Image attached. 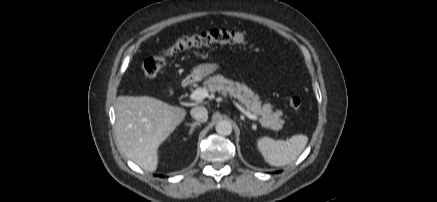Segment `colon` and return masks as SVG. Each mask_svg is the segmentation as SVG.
Instances as JSON below:
<instances>
[{
  "mask_svg": "<svg viewBox=\"0 0 437 202\" xmlns=\"http://www.w3.org/2000/svg\"><path fill=\"white\" fill-rule=\"evenodd\" d=\"M247 40V34L243 31H231L226 29H212L192 36H183L176 39L170 46L158 55L147 58L142 64L143 75L146 79L155 78L165 65L166 58L194 47L219 44H241ZM292 109L299 110L302 107V98L298 95L289 100Z\"/></svg>",
  "mask_w": 437,
  "mask_h": 202,
  "instance_id": "colon-1",
  "label": "colon"
}]
</instances>
